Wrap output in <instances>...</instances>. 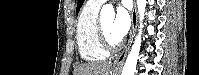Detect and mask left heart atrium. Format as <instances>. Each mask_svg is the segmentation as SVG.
Here are the masks:
<instances>
[{"instance_id":"1","label":"left heart atrium","mask_w":199,"mask_h":75,"mask_svg":"<svg viewBox=\"0 0 199 75\" xmlns=\"http://www.w3.org/2000/svg\"><path fill=\"white\" fill-rule=\"evenodd\" d=\"M131 18L126 5H121L117 9L116 17L111 26V33L120 42L129 31Z\"/></svg>"}]
</instances>
